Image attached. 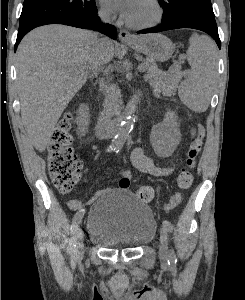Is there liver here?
Here are the masks:
<instances>
[{"label": "liver", "instance_id": "liver-1", "mask_svg": "<svg viewBox=\"0 0 245 300\" xmlns=\"http://www.w3.org/2000/svg\"><path fill=\"white\" fill-rule=\"evenodd\" d=\"M97 36L91 31L64 25H45L29 32L16 52L21 117L39 152L46 149L61 114L86 83L94 61ZM114 56L109 39L103 61Z\"/></svg>", "mask_w": 245, "mask_h": 300}]
</instances>
